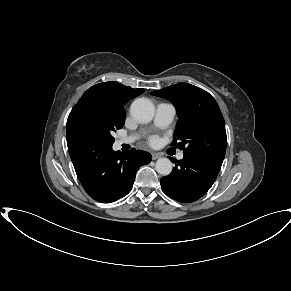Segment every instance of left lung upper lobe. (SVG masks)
<instances>
[{
  "mask_svg": "<svg viewBox=\"0 0 291 291\" xmlns=\"http://www.w3.org/2000/svg\"><path fill=\"white\" fill-rule=\"evenodd\" d=\"M151 94L171 101L177 110L179 120L172 145L185 147L184 155L223 161L227 143L225 122L217 102L208 92L178 83Z\"/></svg>",
  "mask_w": 291,
  "mask_h": 291,
  "instance_id": "left-lung-upper-lobe-1",
  "label": "left lung upper lobe"
}]
</instances>
